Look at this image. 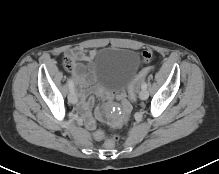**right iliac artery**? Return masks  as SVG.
<instances>
[{
    "label": "right iliac artery",
    "mask_w": 219,
    "mask_h": 174,
    "mask_svg": "<svg viewBox=\"0 0 219 174\" xmlns=\"http://www.w3.org/2000/svg\"><path fill=\"white\" fill-rule=\"evenodd\" d=\"M68 85H69L70 92L74 91V82L71 78L68 79Z\"/></svg>",
    "instance_id": "obj_1"
}]
</instances>
